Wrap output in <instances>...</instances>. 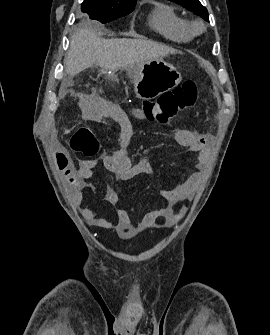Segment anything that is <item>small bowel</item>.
I'll use <instances>...</instances> for the list:
<instances>
[{"label":"small bowel","mask_w":270,"mask_h":335,"mask_svg":"<svg viewBox=\"0 0 270 335\" xmlns=\"http://www.w3.org/2000/svg\"><path fill=\"white\" fill-rule=\"evenodd\" d=\"M96 118H110L114 120L120 129V148L113 153H103L101 159L106 168L113 173L119 181H127L138 175H147L152 172V166L146 159L132 162L127 155V148L133 138V128L125 112L116 105H111L95 115ZM176 136L180 143L186 146L190 152L199 153L197 168L203 169L209 155L211 138L207 135H200L187 130L178 129ZM48 151H59V144H48ZM50 161H57L58 173H73L69 176V182L74 186V201L80 204L83 199V191L88 187L87 180L93 175V168L96 161L85 159L77 162L72 154H50ZM75 169H77L75 171ZM75 171V172H74ZM202 178L201 171L192 173L181 183L170 189L160 190L161 196L165 199V206L149 211L141 219V226L149 228L160 219H169L173 213V207L184 201L195 190ZM106 201L116 211L117 222L114 223L106 217L97 215V212L88 207L80 209L82 217L92 226L100 229L115 227L119 235L128 233L131 230V218L127 210L119 206L120 196L118 192L108 187L105 191Z\"/></svg>","instance_id":"obj_1"}]
</instances>
